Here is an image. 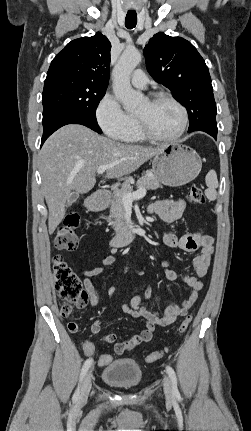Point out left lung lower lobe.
Masks as SVG:
<instances>
[{
    "label": "left lung lower lobe",
    "mask_w": 251,
    "mask_h": 431,
    "mask_svg": "<svg viewBox=\"0 0 251 431\" xmlns=\"http://www.w3.org/2000/svg\"><path fill=\"white\" fill-rule=\"evenodd\" d=\"M201 131H203V130H201ZM205 132H207L208 134H210L211 136H213L215 139H217V133H213V132H210V131H205Z\"/></svg>",
    "instance_id": "1"
}]
</instances>
